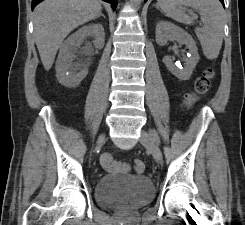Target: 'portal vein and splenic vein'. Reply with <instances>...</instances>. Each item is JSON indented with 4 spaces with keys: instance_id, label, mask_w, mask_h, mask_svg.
<instances>
[{
    "instance_id": "18ae733b",
    "label": "portal vein and splenic vein",
    "mask_w": 245,
    "mask_h": 225,
    "mask_svg": "<svg viewBox=\"0 0 245 225\" xmlns=\"http://www.w3.org/2000/svg\"><path fill=\"white\" fill-rule=\"evenodd\" d=\"M189 14H193V12L191 10H187Z\"/></svg>"
}]
</instances>
